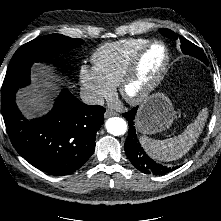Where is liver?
Instances as JSON below:
<instances>
[{
    "instance_id": "liver-1",
    "label": "liver",
    "mask_w": 221,
    "mask_h": 221,
    "mask_svg": "<svg viewBox=\"0 0 221 221\" xmlns=\"http://www.w3.org/2000/svg\"><path fill=\"white\" fill-rule=\"evenodd\" d=\"M34 86L22 90L18 96V106L27 116L43 112L47 108L48 96L55 92L59 79L46 66L38 65L32 70Z\"/></svg>"
}]
</instances>
